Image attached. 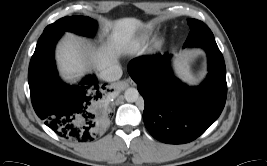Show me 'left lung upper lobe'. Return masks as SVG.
<instances>
[{
    "instance_id": "left-lung-upper-lobe-1",
    "label": "left lung upper lobe",
    "mask_w": 267,
    "mask_h": 166,
    "mask_svg": "<svg viewBox=\"0 0 267 166\" xmlns=\"http://www.w3.org/2000/svg\"><path fill=\"white\" fill-rule=\"evenodd\" d=\"M188 24L191 28V32L189 33V36L187 37V40L184 43V47L202 36L213 35L208 26L199 20L189 19Z\"/></svg>"
}]
</instances>
